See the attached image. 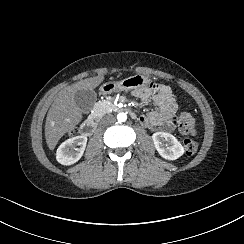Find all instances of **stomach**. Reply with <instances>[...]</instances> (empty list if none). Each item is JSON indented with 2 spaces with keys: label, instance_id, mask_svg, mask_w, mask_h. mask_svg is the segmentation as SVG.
<instances>
[{
  "label": "stomach",
  "instance_id": "1",
  "mask_svg": "<svg viewBox=\"0 0 244 244\" xmlns=\"http://www.w3.org/2000/svg\"><path fill=\"white\" fill-rule=\"evenodd\" d=\"M150 79L142 76H133L123 81H112L104 83L99 88L101 95H111L114 92L129 91L137 89L142 85L147 86L150 84Z\"/></svg>",
  "mask_w": 244,
  "mask_h": 244
}]
</instances>
